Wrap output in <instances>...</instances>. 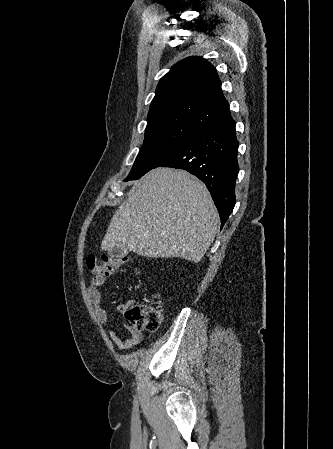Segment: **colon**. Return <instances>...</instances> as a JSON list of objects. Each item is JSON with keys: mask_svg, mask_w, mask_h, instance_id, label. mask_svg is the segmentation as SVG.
Wrapping results in <instances>:
<instances>
[{"mask_svg": "<svg viewBox=\"0 0 333 449\" xmlns=\"http://www.w3.org/2000/svg\"><path fill=\"white\" fill-rule=\"evenodd\" d=\"M126 260L125 256L90 254L86 259V264L92 273L108 276L115 273ZM124 316L132 327L140 331H155L161 322L162 306L157 300L149 303L132 301L127 305Z\"/></svg>", "mask_w": 333, "mask_h": 449, "instance_id": "colon-1", "label": "colon"}]
</instances>
